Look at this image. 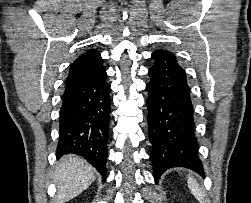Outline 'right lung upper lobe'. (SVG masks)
Masks as SVG:
<instances>
[{
  "instance_id": "obj_1",
  "label": "right lung upper lobe",
  "mask_w": 251,
  "mask_h": 203,
  "mask_svg": "<svg viewBox=\"0 0 251 203\" xmlns=\"http://www.w3.org/2000/svg\"><path fill=\"white\" fill-rule=\"evenodd\" d=\"M102 65L98 51L92 49L79 56L71 65L66 85H70Z\"/></svg>"
}]
</instances>
